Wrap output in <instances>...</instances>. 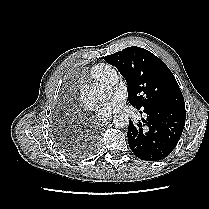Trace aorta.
<instances>
[{
    "label": "aorta",
    "mask_w": 209,
    "mask_h": 209,
    "mask_svg": "<svg viewBox=\"0 0 209 209\" xmlns=\"http://www.w3.org/2000/svg\"><path fill=\"white\" fill-rule=\"evenodd\" d=\"M110 96V89L105 85H96L88 92V97L93 101L107 100ZM113 122L115 126L124 128L129 124V117L127 114L121 113L114 117Z\"/></svg>",
    "instance_id": "1"
}]
</instances>
